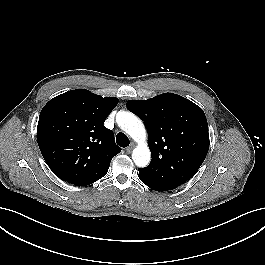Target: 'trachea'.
Segmentation results:
<instances>
[{"instance_id": "trachea-1", "label": "trachea", "mask_w": 265, "mask_h": 265, "mask_svg": "<svg viewBox=\"0 0 265 265\" xmlns=\"http://www.w3.org/2000/svg\"><path fill=\"white\" fill-rule=\"evenodd\" d=\"M116 143L121 147H127L129 146L130 141L127 135L122 132H119L116 136Z\"/></svg>"}]
</instances>
